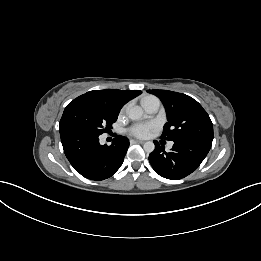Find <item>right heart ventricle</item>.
<instances>
[{"mask_svg":"<svg viewBox=\"0 0 261 261\" xmlns=\"http://www.w3.org/2000/svg\"><path fill=\"white\" fill-rule=\"evenodd\" d=\"M149 97H150V96H149ZM147 98H148V97L143 98V99H142V102H143L144 100H146Z\"/></svg>","mask_w":261,"mask_h":261,"instance_id":"obj_1","label":"right heart ventricle"}]
</instances>
